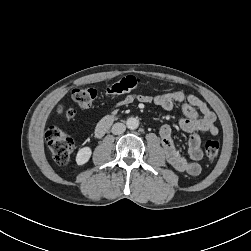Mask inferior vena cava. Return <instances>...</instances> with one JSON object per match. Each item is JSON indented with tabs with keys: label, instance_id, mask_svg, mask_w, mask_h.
<instances>
[{
	"label": "inferior vena cava",
	"instance_id": "1",
	"mask_svg": "<svg viewBox=\"0 0 251 251\" xmlns=\"http://www.w3.org/2000/svg\"><path fill=\"white\" fill-rule=\"evenodd\" d=\"M126 130V126L125 124L123 123H115L113 126H112V129H111V132L115 135H119V134H122L124 133Z\"/></svg>",
	"mask_w": 251,
	"mask_h": 251
}]
</instances>
